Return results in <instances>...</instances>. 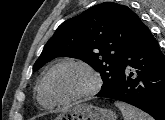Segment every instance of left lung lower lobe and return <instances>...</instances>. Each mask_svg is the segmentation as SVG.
Returning <instances> with one entry per match:
<instances>
[{"mask_svg": "<svg viewBox=\"0 0 165 120\" xmlns=\"http://www.w3.org/2000/svg\"><path fill=\"white\" fill-rule=\"evenodd\" d=\"M131 104L165 120V56L148 27L125 53L119 85L99 96Z\"/></svg>", "mask_w": 165, "mask_h": 120, "instance_id": "obj_1", "label": "left lung lower lobe"}]
</instances>
